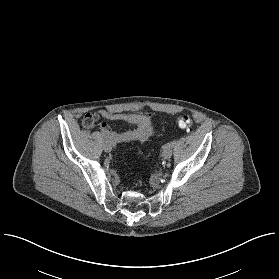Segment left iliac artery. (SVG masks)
Masks as SVG:
<instances>
[{"instance_id": "obj_1", "label": "left iliac artery", "mask_w": 279, "mask_h": 279, "mask_svg": "<svg viewBox=\"0 0 279 279\" xmlns=\"http://www.w3.org/2000/svg\"><path fill=\"white\" fill-rule=\"evenodd\" d=\"M175 144H176V141L174 140V141H172V142L166 144V145L164 146V148H165V149H167V148H172Z\"/></svg>"}]
</instances>
